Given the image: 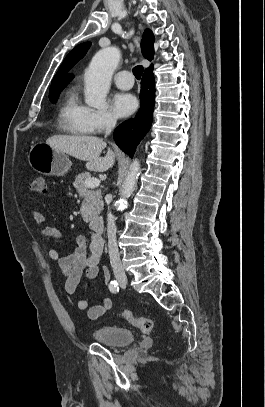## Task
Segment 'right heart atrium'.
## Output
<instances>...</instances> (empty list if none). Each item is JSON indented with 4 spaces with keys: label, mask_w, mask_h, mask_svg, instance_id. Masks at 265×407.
<instances>
[{
    "label": "right heart atrium",
    "mask_w": 265,
    "mask_h": 407,
    "mask_svg": "<svg viewBox=\"0 0 265 407\" xmlns=\"http://www.w3.org/2000/svg\"><path fill=\"white\" fill-rule=\"evenodd\" d=\"M87 123L93 133L104 132L116 125L117 117L108 109L87 108Z\"/></svg>",
    "instance_id": "obj_1"
}]
</instances>
